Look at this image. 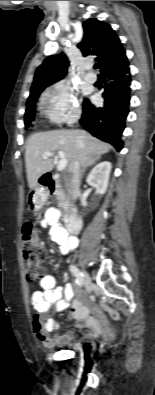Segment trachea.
<instances>
[{
	"instance_id": "1",
	"label": "trachea",
	"mask_w": 155,
	"mask_h": 395,
	"mask_svg": "<svg viewBox=\"0 0 155 395\" xmlns=\"http://www.w3.org/2000/svg\"><path fill=\"white\" fill-rule=\"evenodd\" d=\"M94 68H95V69H97V68H98V65H97V64H95V65H94Z\"/></svg>"
}]
</instances>
